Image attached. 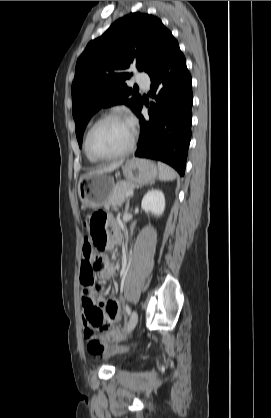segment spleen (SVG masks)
Wrapping results in <instances>:
<instances>
[{"instance_id":"1","label":"spleen","mask_w":271,"mask_h":418,"mask_svg":"<svg viewBox=\"0 0 271 418\" xmlns=\"http://www.w3.org/2000/svg\"><path fill=\"white\" fill-rule=\"evenodd\" d=\"M158 169L161 181H172L177 176L175 170L163 162H158Z\"/></svg>"}]
</instances>
